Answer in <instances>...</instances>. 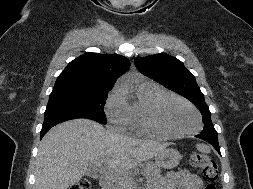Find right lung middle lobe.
Masks as SVG:
<instances>
[{
  "mask_svg": "<svg viewBox=\"0 0 253 189\" xmlns=\"http://www.w3.org/2000/svg\"><path fill=\"white\" fill-rule=\"evenodd\" d=\"M106 87L53 88L45 111V121L58 118H88L107 123L104 105L108 92Z\"/></svg>",
  "mask_w": 253,
  "mask_h": 189,
  "instance_id": "right-lung-middle-lobe-1",
  "label": "right lung middle lobe"
}]
</instances>
